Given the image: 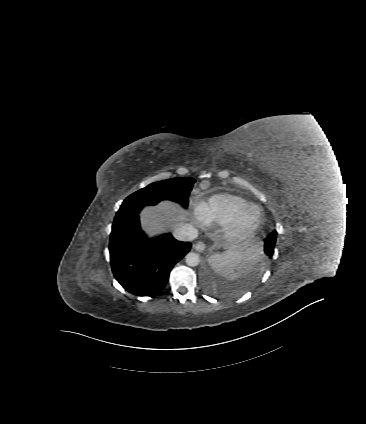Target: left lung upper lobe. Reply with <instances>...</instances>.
I'll return each mask as SVG.
<instances>
[{
  "label": "left lung upper lobe",
  "instance_id": "1",
  "mask_svg": "<svg viewBox=\"0 0 366 424\" xmlns=\"http://www.w3.org/2000/svg\"><path fill=\"white\" fill-rule=\"evenodd\" d=\"M277 232L273 231L265 239L264 251L267 255L272 256L274 252V247L276 243Z\"/></svg>",
  "mask_w": 366,
  "mask_h": 424
}]
</instances>
